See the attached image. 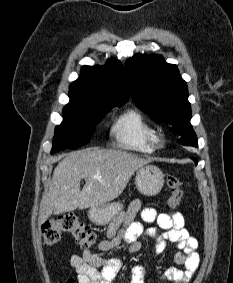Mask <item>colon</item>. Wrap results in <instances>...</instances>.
Returning <instances> with one entry per match:
<instances>
[{
    "instance_id": "5ec220e1",
    "label": "colon",
    "mask_w": 233,
    "mask_h": 283,
    "mask_svg": "<svg viewBox=\"0 0 233 283\" xmlns=\"http://www.w3.org/2000/svg\"><path fill=\"white\" fill-rule=\"evenodd\" d=\"M166 184L170 192L167 204L171 209H175L182 198L181 180L176 176L168 175ZM64 234L70 235L83 249L90 248L96 242L95 231L73 214H64L48 220L42 226L43 242L46 246L56 244ZM65 283H74V281L68 279Z\"/></svg>"
}]
</instances>
